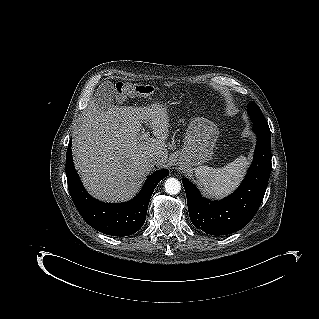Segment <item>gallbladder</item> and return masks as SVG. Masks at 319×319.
Masks as SVG:
<instances>
[{
	"label": "gallbladder",
	"instance_id": "1",
	"mask_svg": "<svg viewBox=\"0 0 319 319\" xmlns=\"http://www.w3.org/2000/svg\"><path fill=\"white\" fill-rule=\"evenodd\" d=\"M103 96H100L99 98H102ZM111 103V95H106L105 99H101V101L99 100V104L102 106L104 104H108Z\"/></svg>",
	"mask_w": 319,
	"mask_h": 319
}]
</instances>
